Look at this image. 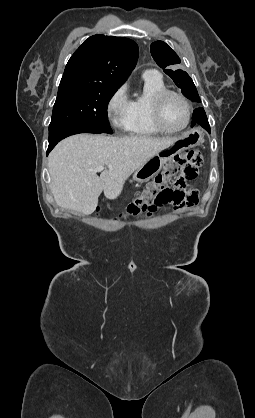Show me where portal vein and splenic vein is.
<instances>
[{"label": "portal vein and splenic vein", "instance_id": "1", "mask_svg": "<svg viewBox=\"0 0 255 418\" xmlns=\"http://www.w3.org/2000/svg\"><path fill=\"white\" fill-rule=\"evenodd\" d=\"M104 170V166L103 165H99V166H97L95 169H94V171H96V172H100V171H103Z\"/></svg>", "mask_w": 255, "mask_h": 418}]
</instances>
